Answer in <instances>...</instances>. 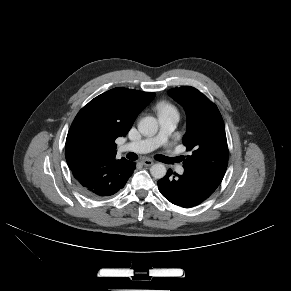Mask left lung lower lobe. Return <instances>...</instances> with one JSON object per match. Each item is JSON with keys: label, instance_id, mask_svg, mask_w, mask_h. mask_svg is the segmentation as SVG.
I'll return each instance as SVG.
<instances>
[{"label": "left lung lower lobe", "instance_id": "1", "mask_svg": "<svg viewBox=\"0 0 291 291\" xmlns=\"http://www.w3.org/2000/svg\"><path fill=\"white\" fill-rule=\"evenodd\" d=\"M221 181L222 179L208 173L184 167L182 175L169 169L166 176L158 181V189L171 203L189 208L206 200Z\"/></svg>", "mask_w": 291, "mask_h": 291}]
</instances>
